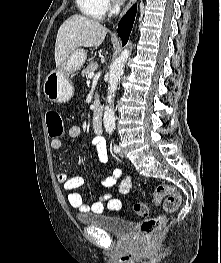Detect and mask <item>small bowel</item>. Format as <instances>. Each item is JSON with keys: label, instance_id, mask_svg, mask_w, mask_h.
Masks as SVG:
<instances>
[{"label": "small bowel", "instance_id": "c3829d8e", "mask_svg": "<svg viewBox=\"0 0 221 263\" xmlns=\"http://www.w3.org/2000/svg\"><path fill=\"white\" fill-rule=\"evenodd\" d=\"M81 134V129L77 125L70 126L68 129V135L70 138H77ZM62 146L60 139H54L51 141V148L53 150H59ZM92 147L95 150L96 156L100 163L106 164L108 162V151L104 138L102 136H95L92 139ZM122 171L120 169H114L110 176L102 178L100 184L104 188H111L115 185L118 178L121 176ZM58 182L62 185L63 189L68 192L67 199L69 204L76 208L80 213L91 212L94 214H100L104 210L105 205L110 210H118L121 208V201L112 194L99 198L92 203H86L83 200L81 194L75 192V189L81 187L84 180L80 176H70L67 173H59L57 175ZM132 186V178L127 176L120 184L119 192L121 194H128Z\"/></svg>", "mask_w": 221, "mask_h": 263}]
</instances>
